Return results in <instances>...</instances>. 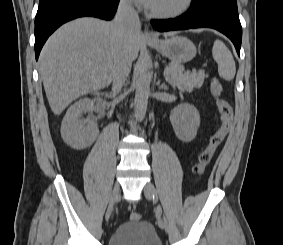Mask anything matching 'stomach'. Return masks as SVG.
<instances>
[{
  "mask_svg": "<svg viewBox=\"0 0 283 245\" xmlns=\"http://www.w3.org/2000/svg\"><path fill=\"white\" fill-rule=\"evenodd\" d=\"M148 44L177 64L186 63L196 55L194 43L183 36H173L169 39Z\"/></svg>",
  "mask_w": 283,
  "mask_h": 245,
  "instance_id": "0dacf381",
  "label": "stomach"
}]
</instances>
